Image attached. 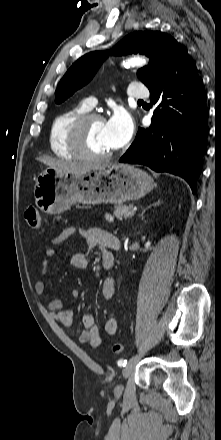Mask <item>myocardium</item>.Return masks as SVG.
I'll return each instance as SVG.
<instances>
[{
	"label": "myocardium",
	"mask_w": 221,
	"mask_h": 440,
	"mask_svg": "<svg viewBox=\"0 0 221 440\" xmlns=\"http://www.w3.org/2000/svg\"><path fill=\"white\" fill-rule=\"evenodd\" d=\"M95 120L105 121V118L97 112H86L78 116L69 127V145L78 158L90 161L107 160L113 156L114 152L112 150L103 154H96L88 148L86 142L88 125Z\"/></svg>",
	"instance_id": "1"
}]
</instances>
